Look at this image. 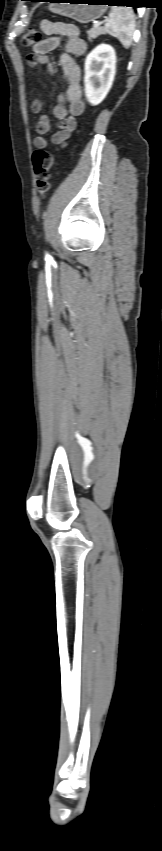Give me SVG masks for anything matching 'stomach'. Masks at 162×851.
<instances>
[{"label": "stomach", "mask_w": 162, "mask_h": 851, "mask_svg": "<svg viewBox=\"0 0 162 851\" xmlns=\"http://www.w3.org/2000/svg\"><path fill=\"white\" fill-rule=\"evenodd\" d=\"M51 12L88 23L100 18L107 9L106 0H50Z\"/></svg>", "instance_id": "obj_1"}]
</instances>
